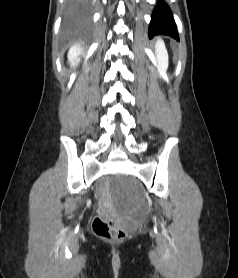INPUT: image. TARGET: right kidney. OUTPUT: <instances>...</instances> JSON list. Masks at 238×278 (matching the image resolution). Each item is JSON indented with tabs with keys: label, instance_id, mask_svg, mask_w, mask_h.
<instances>
[{
	"label": "right kidney",
	"instance_id": "ca27d5eb",
	"mask_svg": "<svg viewBox=\"0 0 238 278\" xmlns=\"http://www.w3.org/2000/svg\"><path fill=\"white\" fill-rule=\"evenodd\" d=\"M80 54H82L81 46L79 44H74L68 52V59L72 67H75L80 61Z\"/></svg>",
	"mask_w": 238,
	"mask_h": 278
}]
</instances>
